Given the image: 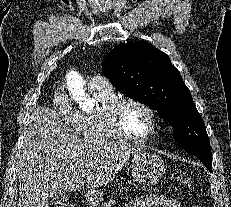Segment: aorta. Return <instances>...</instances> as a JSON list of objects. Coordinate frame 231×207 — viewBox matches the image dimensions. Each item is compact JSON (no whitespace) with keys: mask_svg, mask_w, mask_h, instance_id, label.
<instances>
[{"mask_svg":"<svg viewBox=\"0 0 231 207\" xmlns=\"http://www.w3.org/2000/svg\"><path fill=\"white\" fill-rule=\"evenodd\" d=\"M67 87L71 98L77 101L80 106L86 107L92 103L85 92L84 81L77 72H70L67 76Z\"/></svg>","mask_w":231,"mask_h":207,"instance_id":"1","label":"aorta"}]
</instances>
